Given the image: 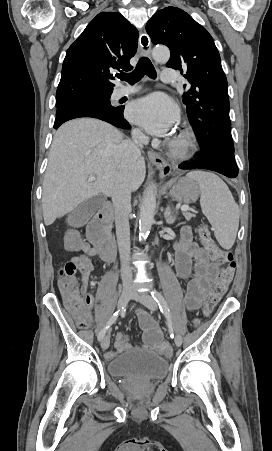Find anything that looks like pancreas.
<instances>
[{
  "instance_id": "1",
  "label": "pancreas",
  "mask_w": 272,
  "mask_h": 451,
  "mask_svg": "<svg viewBox=\"0 0 272 451\" xmlns=\"http://www.w3.org/2000/svg\"><path fill=\"white\" fill-rule=\"evenodd\" d=\"M183 216L185 220H191V218H194V214H190V212H183Z\"/></svg>"
}]
</instances>
